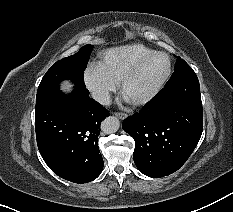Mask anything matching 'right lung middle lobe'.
Masks as SVG:
<instances>
[{
    "label": "right lung middle lobe",
    "mask_w": 233,
    "mask_h": 212,
    "mask_svg": "<svg viewBox=\"0 0 233 212\" xmlns=\"http://www.w3.org/2000/svg\"><path fill=\"white\" fill-rule=\"evenodd\" d=\"M92 45H85L76 54L57 61L42 78L36 96V109L52 100L59 91V83L70 79L75 85L85 87L84 70L86 69Z\"/></svg>",
    "instance_id": "1"
}]
</instances>
